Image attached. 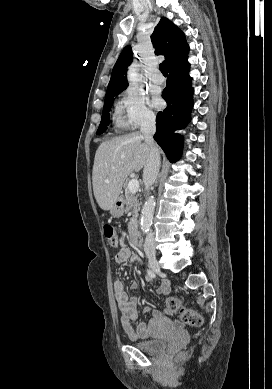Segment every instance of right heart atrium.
Returning <instances> with one entry per match:
<instances>
[{
	"label": "right heart atrium",
	"instance_id": "1",
	"mask_svg": "<svg viewBox=\"0 0 272 389\" xmlns=\"http://www.w3.org/2000/svg\"><path fill=\"white\" fill-rule=\"evenodd\" d=\"M118 109L130 128H140L154 123L155 115L149 106L148 98L134 88L125 89L118 101Z\"/></svg>",
	"mask_w": 272,
	"mask_h": 389
}]
</instances>
